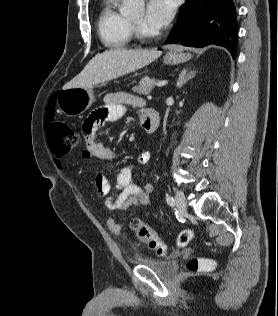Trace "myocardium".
<instances>
[{
    "instance_id": "f54148a6",
    "label": "myocardium",
    "mask_w": 278,
    "mask_h": 316,
    "mask_svg": "<svg viewBox=\"0 0 278 316\" xmlns=\"http://www.w3.org/2000/svg\"><path fill=\"white\" fill-rule=\"evenodd\" d=\"M131 26L133 30V34L140 41H151L158 37L157 32H148L143 25L131 20Z\"/></svg>"
}]
</instances>
